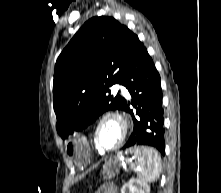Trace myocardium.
Segmentation results:
<instances>
[{"instance_id":"myocardium-1","label":"myocardium","mask_w":221,"mask_h":193,"mask_svg":"<svg viewBox=\"0 0 221 193\" xmlns=\"http://www.w3.org/2000/svg\"><path fill=\"white\" fill-rule=\"evenodd\" d=\"M106 120H113L120 127V137H119L118 141L116 142V144L114 146L110 147V148L102 147L100 145L99 141H98L99 128ZM127 132H128V122L122 114H120L118 112H115V111L105 112L104 114H102L98 118V120L95 123L94 130H93L94 145L97 148V150L102 152V153H107V152L114 151L122 145V143L124 142V140L126 138Z\"/></svg>"}]
</instances>
